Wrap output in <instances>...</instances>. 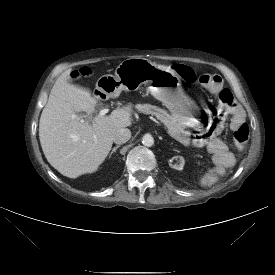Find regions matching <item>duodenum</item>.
<instances>
[{
    "mask_svg": "<svg viewBox=\"0 0 275 275\" xmlns=\"http://www.w3.org/2000/svg\"><path fill=\"white\" fill-rule=\"evenodd\" d=\"M105 96H106V93L101 91L100 89H97L92 93V98L95 101H100Z\"/></svg>",
    "mask_w": 275,
    "mask_h": 275,
    "instance_id": "1",
    "label": "duodenum"
}]
</instances>
